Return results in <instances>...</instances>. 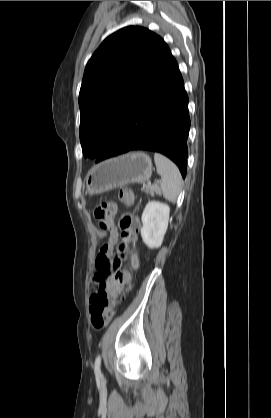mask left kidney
I'll list each match as a JSON object with an SVG mask.
<instances>
[{
    "label": "left kidney",
    "mask_w": 271,
    "mask_h": 418,
    "mask_svg": "<svg viewBox=\"0 0 271 418\" xmlns=\"http://www.w3.org/2000/svg\"><path fill=\"white\" fill-rule=\"evenodd\" d=\"M170 207L158 201H149L142 214L141 237L151 249L159 248L167 231Z\"/></svg>",
    "instance_id": "1"
}]
</instances>
